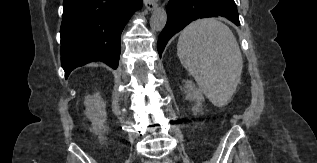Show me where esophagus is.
Masks as SVG:
<instances>
[{
  "label": "esophagus",
  "instance_id": "esophagus-1",
  "mask_svg": "<svg viewBox=\"0 0 317 163\" xmlns=\"http://www.w3.org/2000/svg\"><path fill=\"white\" fill-rule=\"evenodd\" d=\"M144 5L150 11L154 10L157 7L155 0H144Z\"/></svg>",
  "mask_w": 317,
  "mask_h": 163
}]
</instances>
